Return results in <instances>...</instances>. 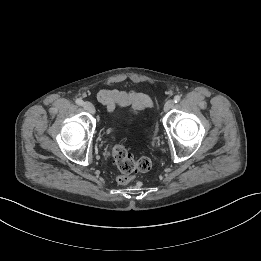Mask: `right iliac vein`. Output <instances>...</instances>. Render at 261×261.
<instances>
[{"mask_svg":"<svg viewBox=\"0 0 261 261\" xmlns=\"http://www.w3.org/2000/svg\"><path fill=\"white\" fill-rule=\"evenodd\" d=\"M83 107H84V109H85L87 112H89V113H91V114H94V113H95V107H94V105H93L91 102H88V101L84 102V103H83Z\"/></svg>","mask_w":261,"mask_h":261,"instance_id":"obj_1","label":"right iliac vein"}]
</instances>
